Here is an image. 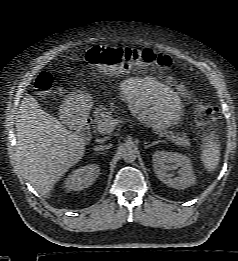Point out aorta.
Segmentation results:
<instances>
[{"label": "aorta", "instance_id": "762f6f07", "mask_svg": "<svg viewBox=\"0 0 238 261\" xmlns=\"http://www.w3.org/2000/svg\"><path fill=\"white\" fill-rule=\"evenodd\" d=\"M121 156L125 162L132 163L136 160L137 149L131 145H127L122 148Z\"/></svg>", "mask_w": 238, "mask_h": 261}]
</instances>
